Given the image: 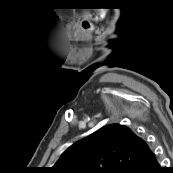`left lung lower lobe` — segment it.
Listing matches in <instances>:
<instances>
[{
	"mask_svg": "<svg viewBox=\"0 0 173 173\" xmlns=\"http://www.w3.org/2000/svg\"><path fill=\"white\" fill-rule=\"evenodd\" d=\"M136 173H163L155 154L152 152L142 167Z\"/></svg>",
	"mask_w": 173,
	"mask_h": 173,
	"instance_id": "0a47b994",
	"label": "left lung lower lobe"
}]
</instances>
